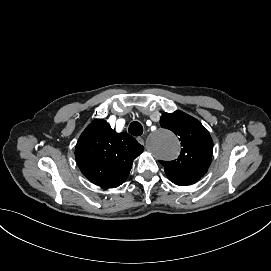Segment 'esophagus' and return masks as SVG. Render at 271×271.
I'll return each instance as SVG.
<instances>
[{
    "instance_id": "1",
    "label": "esophagus",
    "mask_w": 271,
    "mask_h": 271,
    "mask_svg": "<svg viewBox=\"0 0 271 271\" xmlns=\"http://www.w3.org/2000/svg\"><path fill=\"white\" fill-rule=\"evenodd\" d=\"M137 141L141 144L144 145V140L141 137H137Z\"/></svg>"
}]
</instances>
